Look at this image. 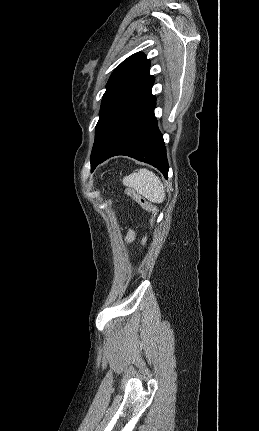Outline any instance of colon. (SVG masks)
<instances>
[{
    "mask_svg": "<svg viewBox=\"0 0 259 431\" xmlns=\"http://www.w3.org/2000/svg\"><path fill=\"white\" fill-rule=\"evenodd\" d=\"M127 194L133 201L138 203L145 211L151 214L150 223H151V226L153 227L155 225V218L158 212L157 207L131 188L127 189Z\"/></svg>",
    "mask_w": 259,
    "mask_h": 431,
    "instance_id": "colon-1",
    "label": "colon"
}]
</instances>
